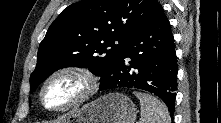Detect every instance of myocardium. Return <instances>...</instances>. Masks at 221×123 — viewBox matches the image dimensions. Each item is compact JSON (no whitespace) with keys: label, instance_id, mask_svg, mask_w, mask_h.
<instances>
[{"label":"myocardium","instance_id":"f54148a6","mask_svg":"<svg viewBox=\"0 0 221 123\" xmlns=\"http://www.w3.org/2000/svg\"><path fill=\"white\" fill-rule=\"evenodd\" d=\"M63 75H74L82 82V90L80 94L71 102L60 106L50 107L44 101V92L47 86L57 77ZM99 79L90 70L80 66H64L53 71L42 83L39 91V99L41 105L50 112H65L77 108L87 102L98 90Z\"/></svg>","mask_w":221,"mask_h":123}]
</instances>
